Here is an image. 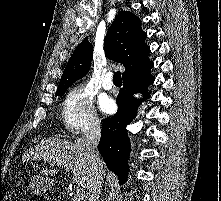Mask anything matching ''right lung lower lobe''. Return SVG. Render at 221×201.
Here are the masks:
<instances>
[{
  "mask_svg": "<svg viewBox=\"0 0 221 201\" xmlns=\"http://www.w3.org/2000/svg\"><path fill=\"white\" fill-rule=\"evenodd\" d=\"M152 67L151 63L143 70L123 77V88L116 99L118 111L114 116L104 119L102 123L98 150L108 168L118 176L121 184L127 179V161L130 153L126 126L135 118L141 102L133 94L142 92L143 99L149 97L147 86L154 82V77L150 73Z\"/></svg>",
  "mask_w": 221,
  "mask_h": 201,
  "instance_id": "98d812e1",
  "label": "right lung lower lobe"
}]
</instances>
